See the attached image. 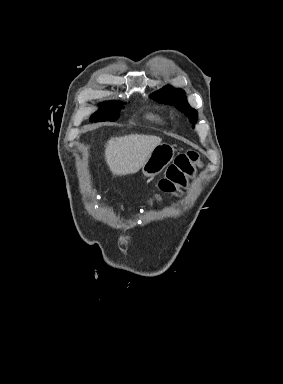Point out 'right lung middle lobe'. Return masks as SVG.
Masks as SVG:
<instances>
[{
	"mask_svg": "<svg viewBox=\"0 0 283 384\" xmlns=\"http://www.w3.org/2000/svg\"><path fill=\"white\" fill-rule=\"evenodd\" d=\"M121 102H114V104L103 105L96 113L90 117L91 122L115 121L118 119L119 106Z\"/></svg>",
	"mask_w": 283,
	"mask_h": 384,
	"instance_id": "1",
	"label": "right lung middle lobe"
}]
</instances>
